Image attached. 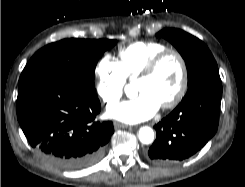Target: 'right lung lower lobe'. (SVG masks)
I'll return each mask as SVG.
<instances>
[{
	"mask_svg": "<svg viewBox=\"0 0 245 187\" xmlns=\"http://www.w3.org/2000/svg\"><path fill=\"white\" fill-rule=\"evenodd\" d=\"M101 110L95 92L47 79L19 87L17 118L29 143L51 164L68 170L92 165L114 132L95 122Z\"/></svg>",
	"mask_w": 245,
	"mask_h": 187,
	"instance_id": "right-lung-lower-lobe-1",
	"label": "right lung lower lobe"
}]
</instances>
